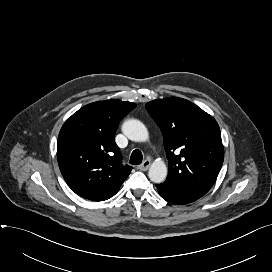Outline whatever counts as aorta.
Returning <instances> with one entry per match:
<instances>
[{
  "mask_svg": "<svg viewBox=\"0 0 272 272\" xmlns=\"http://www.w3.org/2000/svg\"><path fill=\"white\" fill-rule=\"evenodd\" d=\"M123 133L132 141L144 142L149 134L145 125L137 119L126 120L122 125ZM148 176L154 183H161L167 177V167L163 161H154L149 168Z\"/></svg>",
  "mask_w": 272,
  "mask_h": 272,
  "instance_id": "762f6f07",
  "label": "aorta"
}]
</instances>
